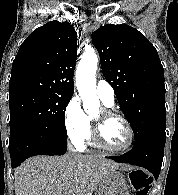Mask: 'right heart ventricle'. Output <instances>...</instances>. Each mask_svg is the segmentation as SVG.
I'll return each instance as SVG.
<instances>
[{
    "mask_svg": "<svg viewBox=\"0 0 178 195\" xmlns=\"http://www.w3.org/2000/svg\"><path fill=\"white\" fill-rule=\"evenodd\" d=\"M103 103H104V102H103ZM104 105L107 106V107H111V106H112V105H109V104H106V103H104ZM89 121H90V118H89ZM88 139L90 140L91 144H95V143H94V140H93V138H92L91 130H90Z\"/></svg>",
    "mask_w": 178,
    "mask_h": 195,
    "instance_id": "e07e8e85",
    "label": "right heart ventricle"
}]
</instances>
